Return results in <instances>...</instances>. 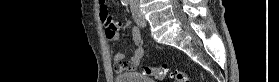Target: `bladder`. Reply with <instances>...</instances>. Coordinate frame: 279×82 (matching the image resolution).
I'll use <instances>...</instances> for the list:
<instances>
[{"label": "bladder", "mask_w": 279, "mask_h": 82, "mask_svg": "<svg viewBox=\"0 0 279 82\" xmlns=\"http://www.w3.org/2000/svg\"><path fill=\"white\" fill-rule=\"evenodd\" d=\"M116 82H155L148 79L143 73L127 72L120 73L115 76Z\"/></svg>", "instance_id": "1"}]
</instances>
